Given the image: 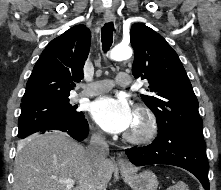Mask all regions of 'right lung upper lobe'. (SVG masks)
Masks as SVG:
<instances>
[{
    "mask_svg": "<svg viewBox=\"0 0 221 190\" xmlns=\"http://www.w3.org/2000/svg\"><path fill=\"white\" fill-rule=\"evenodd\" d=\"M90 39L85 25H76L53 39L33 68L21 106L68 98L74 82L83 78Z\"/></svg>",
    "mask_w": 221,
    "mask_h": 190,
    "instance_id": "1",
    "label": "right lung upper lobe"
}]
</instances>
